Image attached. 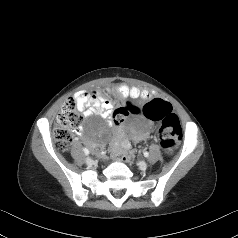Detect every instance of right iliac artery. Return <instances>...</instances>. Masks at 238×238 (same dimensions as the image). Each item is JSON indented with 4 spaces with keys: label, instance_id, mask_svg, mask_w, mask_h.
<instances>
[{
    "label": "right iliac artery",
    "instance_id": "right-iliac-artery-1",
    "mask_svg": "<svg viewBox=\"0 0 238 238\" xmlns=\"http://www.w3.org/2000/svg\"><path fill=\"white\" fill-rule=\"evenodd\" d=\"M83 151H84V153H85L86 155L89 154V150H88L87 148H83Z\"/></svg>",
    "mask_w": 238,
    "mask_h": 238
}]
</instances>
